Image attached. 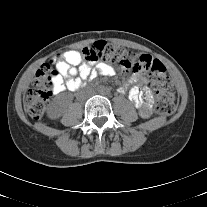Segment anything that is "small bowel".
<instances>
[{"label": "small bowel", "instance_id": "c3829d8e", "mask_svg": "<svg viewBox=\"0 0 207 207\" xmlns=\"http://www.w3.org/2000/svg\"><path fill=\"white\" fill-rule=\"evenodd\" d=\"M53 62L56 59H52ZM57 76L53 82L54 94L64 91H76L85 85V81L94 79L97 76L111 77L115 75V68L106 62L93 65L85 61L78 50H69L63 54V59L57 61ZM141 71L130 72L131 76L127 82L119 88L121 93L128 91L129 99L138 109L143 118H147L152 113L151 97L148 90H143L146 79L141 75ZM131 87L128 89V87Z\"/></svg>", "mask_w": 207, "mask_h": 207}]
</instances>
